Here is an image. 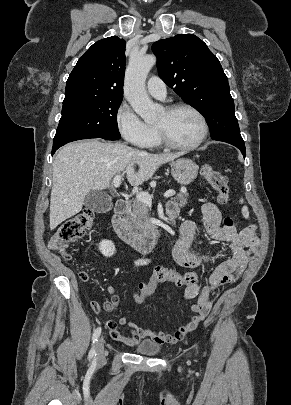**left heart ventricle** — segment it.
Segmentation results:
<instances>
[{
  "mask_svg": "<svg viewBox=\"0 0 291 405\" xmlns=\"http://www.w3.org/2000/svg\"><path fill=\"white\" fill-rule=\"evenodd\" d=\"M155 126L162 128L170 140L181 145L195 142L199 138L202 129L199 118L186 109L173 113H167L164 110Z\"/></svg>",
  "mask_w": 291,
  "mask_h": 405,
  "instance_id": "b2bd125f",
  "label": "left heart ventricle"
}]
</instances>
